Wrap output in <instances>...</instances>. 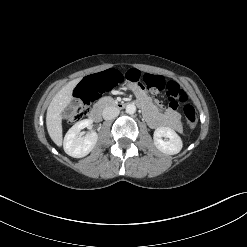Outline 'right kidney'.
<instances>
[{
	"label": "right kidney",
	"mask_w": 247,
	"mask_h": 247,
	"mask_svg": "<svg viewBox=\"0 0 247 247\" xmlns=\"http://www.w3.org/2000/svg\"><path fill=\"white\" fill-rule=\"evenodd\" d=\"M91 119H84L75 123L66 133L63 142L64 151L71 157L82 158L88 155L94 148L98 135L95 131H91L83 137H79V132L86 128L92 127Z\"/></svg>",
	"instance_id": "ca27d5eb"
}]
</instances>
